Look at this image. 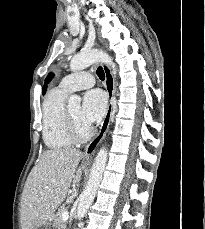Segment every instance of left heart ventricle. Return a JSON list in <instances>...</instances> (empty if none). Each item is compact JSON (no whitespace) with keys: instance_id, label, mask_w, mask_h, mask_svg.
Returning <instances> with one entry per match:
<instances>
[{"instance_id":"b2bd125f","label":"left heart ventricle","mask_w":205,"mask_h":229,"mask_svg":"<svg viewBox=\"0 0 205 229\" xmlns=\"http://www.w3.org/2000/svg\"><path fill=\"white\" fill-rule=\"evenodd\" d=\"M69 110H70L72 116L77 121V123L80 126V128L81 129H86L87 125L81 119V107H80V105L71 106V107H69Z\"/></svg>"}]
</instances>
